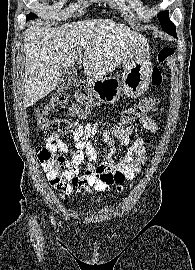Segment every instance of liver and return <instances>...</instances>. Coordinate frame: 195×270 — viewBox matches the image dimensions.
Segmentation results:
<instances>
[{"label": "liver", "mask_w": 195, "mask_h": 270, "mask_svg": "<svg viewBox=\"0 0 195 270\" xmlns=\"http://www.w3.org/2000/svg\"><path fill=\"white\" fill-rule=\"evenodd\" d=\"M146 41L140 33L110 19L78 21L58 28L33 23L24 32V106H32L55 89L59 70L75 64L77 51H84L85 75L104 78Z\"/></svg>", "instance_id": "6515ba94"}]
</instances>
